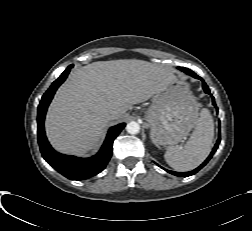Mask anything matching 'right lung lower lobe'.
Returning a JSON list of instances; mask_svg holds the SVG:
<instances>
[{
    "mask_svg": "<svg viewBox=\"0 0 252 231\" xmlns=\"http://www.w3.org/2000/svg\"><path fill=\"white\" fill-rule=\"evenodd\" d=\"M72 67L73 65L68 66L67 69L60 75V77L52 83L50 88L42 97V100L38 106L37 115L38 143L43 158L54 169L68 179L84 180L98 174L106 167L112 156L113 141L125 127V123L111 127L100 151L95 156L90 158H78L75 156L62 155L51 147L44 131V119L46 111L54 96V93L65 81Z\"/></svg>",
    "mask_w": 252,
    "mask_h": 231,
    "instance_id": "right-lung-lower-lobe-1",
    "label": "right lung lower lobe"
}]
</instances>
